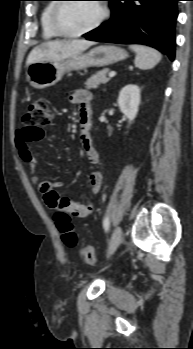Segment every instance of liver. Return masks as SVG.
<instances>
[{
    "instance_id": "6515ba94",
    "label": "liver",
    "mask_w": 193,
    "mask_h": 349,
    "mask_svg": "<svg viewBox=\"0 0 193 349\" xmlns=\"http://www.w3.org/2000/svg\"><path fill=\"white\" fill-rule=\"evenodd\" d=\"M95 42L87 40H56L42 43L30 52L27 67L35 62L60 61L81 54Z\"/></svg>"
}]
</instances>
